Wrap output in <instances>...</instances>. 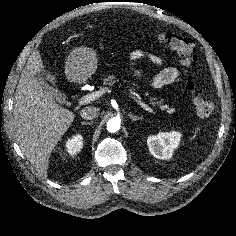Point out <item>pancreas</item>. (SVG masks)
<instances>
[{"instance_id": "1", "label": "pancreas", "mask_w": 236, "mask_h": 236, "mask_svg": "<svg viewBox=\"0 0 236 236\" xmlns=\"http://www.w3.org/2000/svg\"><path fill=\"white\" fill-rule=\"evenodd\" d=\"M102 80H103V84L106 85V86H111L116 82L115 76L112 75V74H108V73L106 75H103ZM150 103L153 106L158 105L161 110H166L168 113L174 112V109L170 108L166 104L164 105L162 100L158 101L156 98H152V99H150Z\"/></svg>"}]
</instances>
